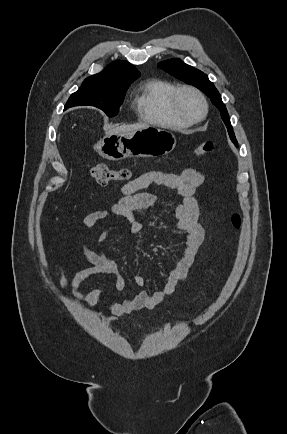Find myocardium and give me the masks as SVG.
<instances>
[{
    "instance_id": "obj_1",
    "label": "myocardium",
    "mask_w": 287,
    "mask_h": 434,
    "mask_svg": "<svg viewBox=\"0 0 287 434\" xmlns=\"http://www.w3.org/2000/svg\"><path fill=\"white\" fill-rule=\"evenodd\" d=\"M185 92L193 93L200 100V102L202 104V113L199 117L188 118L180 110L179 100H180L181 95ZM169 104H170V109H171L172 114L177 119H179L180 121H182L183 123H185L187 125H194V124L199 123L200 121H202L206 117L207 112H208V103H207L205 95L203 94V92L201 90H199L198 88L191 86V85H183V86H179V87L175 88V90L173 91V93L170 96Z\"/></svg>"
}]
</instances>
